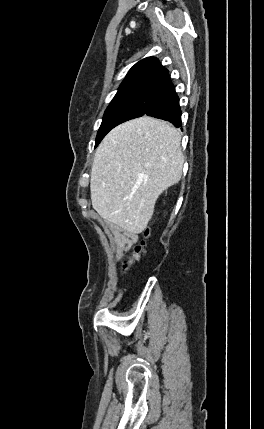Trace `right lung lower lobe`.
<instances>
[{
  "mask_svg": "<svg viewBox=\"0 0 264 429\" xmlns=\"http://www.w3.org/2000/svg\"><path fill=\"white\" fill-rule=\"evenodd\" d=\"M145 115L169 121L176 127L181 126L179 98L171 82L162 88Z\"/></svg>",
  "mask_w": 264,
  "mask_h": 429,
  "instance_id": "right-lung-lower-lobe-1",
  "label": "right lung lower lobe"
}]
</instances>
